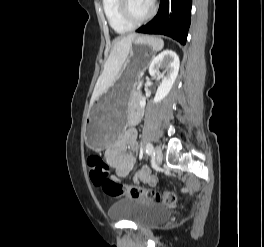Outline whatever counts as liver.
I'll use <instances>...</instances> for the list:
<instances>
[{"instance_id":"6515ba94","label":"liver","mask_w":264,"mask_h":247,"mask_svg":"<svg viewBox=\"0 0 264 247\" xmlns=\"http://www.w3.org/2000/svg\"><path fill=\"white\" fill-rule=\"evenodd\" d=\"M138 37L137 34H130L113 43L111 53L105 62L104 70L97 80L91 100L90 107L99 99L120 77L121 69L130 52L132 42Z\"/></svg>"}]
</instances>
